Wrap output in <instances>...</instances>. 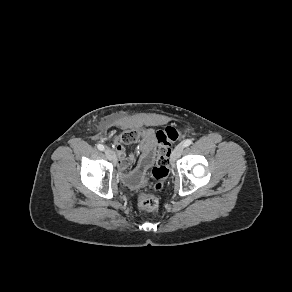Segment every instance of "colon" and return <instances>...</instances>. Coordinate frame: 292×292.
<instances>
[{
  "label": "colon",
  "mask_w": 292,
  "mask_h": 292,
  "mask_svg": "<svg viewBox=\"0 0 292 292\" xmlns=\"http://www.w3.org/2000/svg\"><path fill=\"white\" fill-rule=\"evenodd\" d=\"M141 133L137 130L123 132L117 138V142L128 144L140 137ZM183 133L176 127H166L156 133L159 145L156 165L152 169V177L155 181L153 188L160 190L169 174V161L171 156V146L182 137ZM139 206L146 211H154L159 205L158 198L151 194H141L138 198Z\"/></svg>",
  "instance_id": "obj_1"
}]
</instances>
